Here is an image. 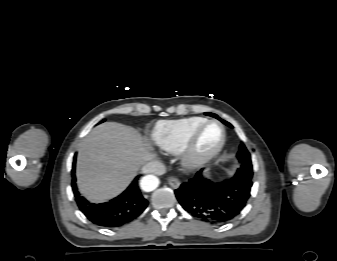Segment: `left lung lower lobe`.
I'll list each match as a JSON object with an SVG mask.
<instances>
[{"instance_id":"obj_1","label":"left lung lower lobe","mask_w":337,"mask_h":261,"mask_svg":"<svg viewBox=\"0 0 337 261\" xmlns=\"http://www.w3.org/2000/svg\"><path fill=\"white\" fill-rule=\"evenodd\" d=\"M252 173L237 169L231 179L214 183L199 171L175 190L181 206L192 216L211 224H223L240 214L250 197Z\"/></svg>"}]
</instances>
